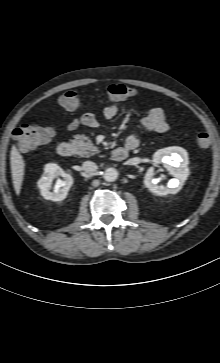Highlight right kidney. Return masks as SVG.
Listing matches in <instances>:
<instances>
[{
  "mask_svg": "<svg viewBox=\"0 0 220 363\" xmlns=\"http://www.w3.org/2000/svg\"><path fill=\"white\" fill-rule=\"evenodd\" d=\"M59 176L64 177L65 180H61ZM55 178L57 180L52 190V183ZM72 184V176L65 173L61 167L54 163L45 165L44 173L38 181V187L42 197L52 201L64 200Z\"/></svg>",
  "mask_w": 220,
  "mask_h": 363,
  "instance_id": "ca27d5eb",
  "label": "right kidney"
}]
</instances>
